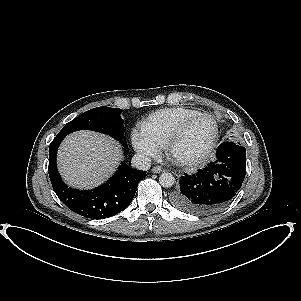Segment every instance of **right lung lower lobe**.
<instances>
[{
  "instance_id": "98d812e1",
  "label": "right lung lower lobe",
  "mask_w": 301,
  "mask_h": 301,
  "mask_svg": "<svg viewBox=\"0 0 301 301\" xmlns=\"http://www.w3.org/2000/svg\"><path fill=\"white\" fill-rule=\"evenodd\" d=\"M65 136H56L49 148V176L59 199L73 212L90 219H105L123 211L132 201L138 183L146 176L122 163L118 171L103 185L87 191L69 188L60 178L56 166V153ZM125 154L126 142H121Z\"/></svg>"
}]
</instances>
